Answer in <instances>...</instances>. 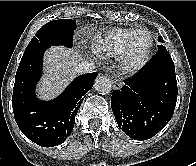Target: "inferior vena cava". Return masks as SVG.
Wrapping results in <instances>:
<instances>
[{
	"label": "inferior vena cava",
	"mask_w": 196,
	"mask_h": 166,
	"mask_svg": "<svg viewBox=\"0 0 196 166\" xmlns=\"http://www.w3.org/2000/svg\"><path fill=\"white\" fill-rule=\"evenodd\" d=\"M95 70V66L93 63L88 61H84L78 64L75 68V72L78 74L92 73Z\"/></svg>",
	"instance_id": "1"
}]
</instances>
